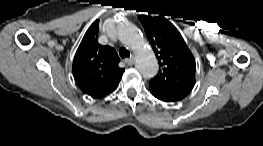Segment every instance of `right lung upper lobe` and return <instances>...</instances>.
<instances>
[{"mask_svg": "<svg viewBox=\"0 0 263 146\" xmlns=\"http://www.w3.org/2000/svg\"><path fill=\"white\" fill-rule=\"evenodd\" d=\"M116 51L98 43V22L86 31L74 57L72 72L83 93L101 98L114 91L121 80Z\"/></svg>", "mask_w": 263, "mask_h": 146, "instance_id": "right-lung-upper-lobe-1", "label": "right lung upper lobe"}]
</instances>
